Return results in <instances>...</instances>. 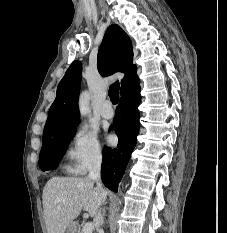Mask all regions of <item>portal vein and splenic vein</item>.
<instances>
[{
    "mask_svg": "<svg viewBox=\"0 0 227 233\" xmlns=\"http://www.w3.org/2000/svg\"><path fill=\"white\" fill-rule=\"evenodd\" d=\"M83 233H92L93 232V225L91 222L85 223L82 229Z\"/></svg>",
    "mask_w": 227,
    "mask_h": 233,
    "instance_id": "obj_1",
    "label": "portal vein and splenic vein"
}]
</instances>
